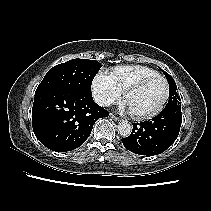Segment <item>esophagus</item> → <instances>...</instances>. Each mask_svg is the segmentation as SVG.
<instances>
[{
    "instance_id": "esophagus-1",
    "label": "esophagus",
    "mask_w": 211,
    "mask_h": 211,
    "mask_svg": "<svg viewBox=\"0 0 211 211\" xmlns=\"http://www.w3.org/2000/svg\"><path fill=\"white\" fill-rule=\"evenodd\" d=\"M110 117L114 120V121H120V118L115 116L114 114H110Z\"/></svg>"
}]
</instances>
